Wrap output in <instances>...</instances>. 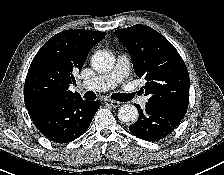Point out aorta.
<instances>
[{
    "mask_svg": "<svg viewBox=\"0 0 224 175\" xmlns=\"http://www.w3.org/2000/svg\"><path fill=\"white\" fill-rule=\"evenodd\" d=\"M115 63L114 56L108 51H97L91 58L92 67L99 72H109ZM139 113L137 108L131 104L122 105L118 110V118L124 123L137 121Z\"/></svg>",
    "mask_w": 224,
    "mask_h": 175,
    "instance_id": "1",
    "label": "aorta"
}]
</instances>
